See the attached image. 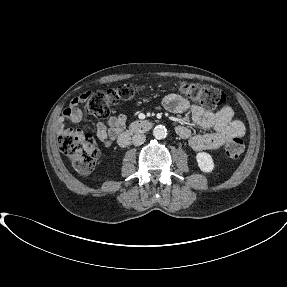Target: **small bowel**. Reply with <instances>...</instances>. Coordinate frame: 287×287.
Segmentation results:
<instances>
[{
    "mask_svg": "<svg viewBox=\"0 0 287 287\" xmlns=\"http://www.w3.org/2000/svg\"><path fill=\"white\" fill-rule=\"evenodd\" d=\"M87 95L75 97L69 106L64 109L57 119L59 132L73 129L67 128L66 121L77 123L83 120V114L79 104L86 99ZM163 106L171 113L189 111L193 122L210 133L192 134L187 125L180 124L176 127L177 135L188 140L189 145L196 151L220 148L227 140L235 136H241L245 132L244 124L234 118L233 109L229 105L222 106L216 112H211L202 107L191 105L188 100L177 94H169L163 99ZM126 116L120 114L111 116L96 125V134L105 147L111 146L124 131Z\"/></svg>",
    "mask_w": 287,
    "mask_h": 287,
    "instance_id": "c3829d8e",
    "label": "small bowel"
}]
</instances>
